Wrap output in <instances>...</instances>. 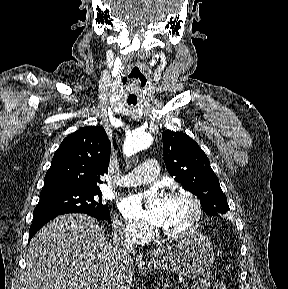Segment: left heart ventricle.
Here are the masks:
<instances>
[{
	"instance_id": "obj_1",
	"label": "left heart ventricle",
	"mask_w": 288,
	"mask_h": 289,
	"mask_svg": "<svg viewBox=\"0 0 288 289\" xmlns=\"http://www.w3.org/2000/svg\"><path fill=\"white\" fill-rule=\"evenodd\" d=\"M193 218V208L184 198L164 199V216L160 225L167 231H179L188 227Z\"/></svg>"
}]
</instances>
